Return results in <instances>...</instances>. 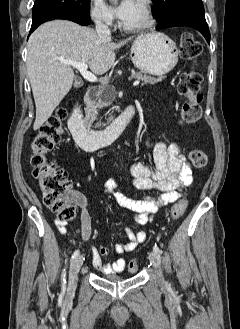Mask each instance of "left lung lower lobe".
I'll list each match as a JSON object with an SVG mask.
<instances>
[{
	"label": "left lung lower lobe",
	"mask_w": 240,
	"mask_h": 329,
	"mask_svg": "<svg viewBox=\"0 0 240 329\" xmlns=\"http://www.w3.org/2000/svg\"><path fill=\"white\" fill-rule=\"evenodd\" d=\"M190 26L197 29L210 44V32L205 20L204 12L193 10H178L168 14L156 29L161 30L169 27Z\"/></svg>",
	"instance_id": "0a47b994"
}]
</instances>
